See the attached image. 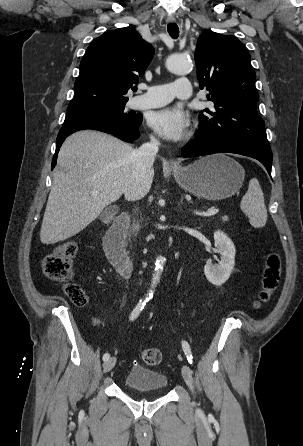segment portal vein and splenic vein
Wrapping results in <instances>:
<instances>
[{
    "label": "portal vein and splenic vein",
    "instance_id": "obj_1",
    "mask_svg": "<svg viewBox=\"0 0 303 446\" xmlns=\"http://www.w3.org/2000/svg\"><path fill=\"white\" fill-rule=\"evenodd\" d=\"M97 194H98V191H93L91 193L92 196H96ZM218 212H219V209H210L207 212L194 211V214H196L198 216L210 217V216H214Z\"/></svg>",
    "mask_w": 303,
    "mask_h": 446
}]
</instances>
